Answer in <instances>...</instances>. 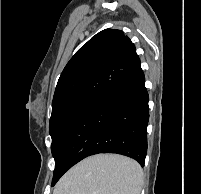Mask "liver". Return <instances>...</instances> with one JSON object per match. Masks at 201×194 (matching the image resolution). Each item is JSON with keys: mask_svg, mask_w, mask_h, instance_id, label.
<instances>
[{"mask_svg": "<svg viewBox=\"0 0 201 194\" xmlns=\"http://www.w3.org/2000/svg\"><path fill=\"white\" fill-rule=\"evenodd\" d=\"M141 166L125 156L98 154L72 167L56 184L53 194H140Z\"/></svg>", "mask_w": 201, "mask_h": 194, "instance_id": "1", "label": "liver"}]
</instances>
